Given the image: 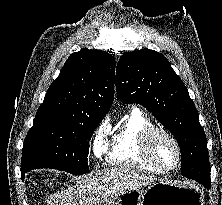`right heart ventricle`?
<instances>
[{"instance_id":"1","label":"right heart ventricle","mask_w":222,"mask_h":205,"mask_svg":"<svg viewBox=\"0 0 222 205\" xmlns=\"http://www.w3.org/2000/svg\"><path fill=\"white\" fill-rule=\"evenodd\" d=\"M150 127H152L150 120L141 111L133 109L112 137L107 152L108 162L160 174L161 172L146 161L140 149V136Z\"/></svg>"}]
</instances>
